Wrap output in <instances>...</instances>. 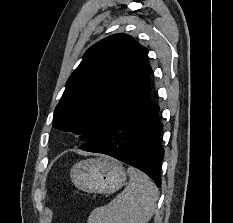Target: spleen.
I'll use <instances>...</instances> for the list:
<instances>
[{
  "label": "spleen",
  "instance_id": "1",
  "mask_svg": "<svg viewBox=\"0 0 233 223\" xmlns=\"http://www.w3.org/2000/svg\"><path fill=\"white\" fill-rule=\"evenodd\" d=\"M130 181L112 201L96 207L88 223H147L159 197L158 187L143 171L130 167Z\"/></svg>",
  "mask_w": 233,
  "mask_h": 223
}]
</instances>
